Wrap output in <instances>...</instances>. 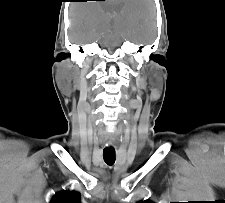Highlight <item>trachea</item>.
<instances>
[{
	"mask_svg": "<svg viewBox=\"0 0 225 203\" xmlns=\"http://www.w3.org/2000/svg\"><path fill=\"white\" fill-rule=\"evenodd\" d=\"M103 159L108 165H113L115 163V150H104Z\"/></svg>",
	"mask_w": 225,
	"mask_h": 203,
	"instance_id": "trachea-1",
	"label": "trachea"
}]
</instances>
